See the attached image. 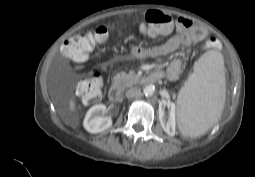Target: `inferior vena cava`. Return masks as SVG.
<instances>
[{
  "instance_id": "inferior-vena-cava-1",
  "label": "inferior vena cava",
  "mask_w": 255,
  "mask_h": 177,
  "mask_svg": "<svg viewBox=\"0 0 255 177\" xmlns=\"http://www.w3.org/2000/svg\"><path fill=\"white\" fill-rule=\"evenodd\" d=\"M141 95V90L138 88H130L126 91L127 98L139 97Z\"/></svg>"
}]
</instances>
